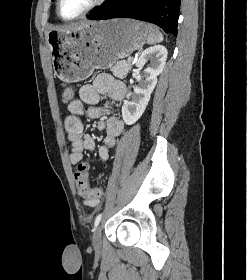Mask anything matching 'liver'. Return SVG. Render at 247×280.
<instances>
[{
  "mask_svg": "<svg viewBox=\"0 0 247 280\" xmlns=\"http://www.w3.org/2000/svg\"><path fill=\"white\" fill-rule=\"evenodd\" d=\"M91 22L89 21H84V22H78V23H72L70 25H66L63 27H58L56 30L60 31V32H65V31H69V30H75V29H80L82 27L87 26L88 24H90Z\"/></svg>",
  "mask_w": 247,
  "mask_h": 280,
  "instance_id": "1",
  "label": "liver"
}]
</instances>
